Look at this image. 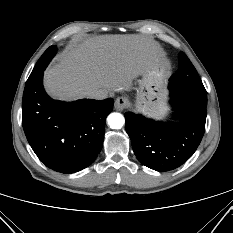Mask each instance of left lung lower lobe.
<instances>
[{
	"instance_id": "0a47b994",
	"label": "left lung lower lobe",
	"mask_w": 233,
	"mask_h": 233,
	"mask_svg": "<svg viewBox=\"0 0 233 233\" xmlns=\"http://www.w3.org/2000/svg\"><path fill=\"white\" fill-rule=\"evenodd\" d=\"M179 55L186 56L183 52ZM169 81L170 102L181 116L180 122H156L125 113L126 131L137 159L159 172L181 166L194 154L204 135L207 115L206 90Z\"/></svg>"
}]
</instances>
